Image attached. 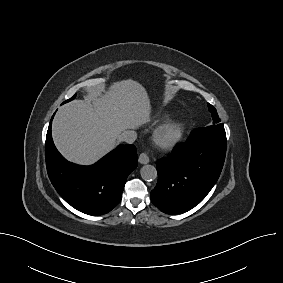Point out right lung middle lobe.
I'll return each mask as SVG.
<instances>
[{
	"label": "right lung middle lobe",
	"mask_w": 283,
	"mask_h": 283,
	"mask_svg": "<svg viewBox=\"0 0 283 283\" xmlns=\"http://www.w3.org/2000/svg\"><path fill=\"white\" fill-rule=\"evenodd\" d=\"M76 96V94L71 98V99H69V100H67V101H65L64 103H66V102H68V101H70V100H72V99H74V97Z\"/></svg>",
	"instance_id": "obj_1"
}]
</instances>
